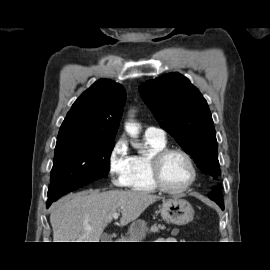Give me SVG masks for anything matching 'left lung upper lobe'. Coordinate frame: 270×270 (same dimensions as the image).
Returning a JSON list of instances; mask_svg holds the SVG:
<instances>
[{
    "label": "left lung upper lobe",
    "instance_id": "1",
    "mask_svg": "<svg viewBox=\"0 0 270 270\" xmlns=\"http://www.w3.org/2000/svg\"><path fill=\"white\" fill-rule=\"evenodd\" d=\"M140 93L159 125L170 133L213 179L220 174L212 116L199 90L180 73H168L140 86Z\"/></svg>",
    "mask_w": 270,
    "mask_h": 270
}]
</instances>
